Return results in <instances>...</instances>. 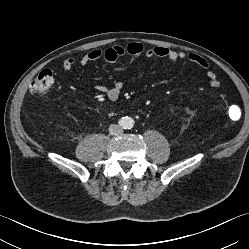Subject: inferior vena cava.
<instances>
[{"label":"inferior vena cava","instance_id":"1","mask_svg":"<svg viewBox=\"0 0 249 249\" xmlns=\"http://www.w3.org/2000/svg\"><path fill=\"white\" fill-rule=\"evenodd\" d=\"M122 132V129L116 125V124H111L109 127V133L111 135H119Z\"/></svg>","mask_w":249,"mask_h":249}]
</instances>
